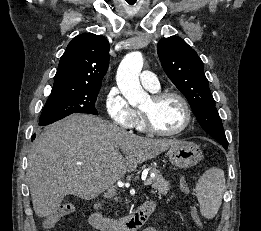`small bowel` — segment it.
Instances as JSON below:
<instances>
[{
  "label": "small bowel",
  "mask_w": 261,
  "mask_h": 231,
  "mask_svg": "<svg viewBox=\"0 0 261 231\" xmlns=\"http://www.w3.org/2000/svg\"><path fill=\"white\" fill-rule=\"evenodd\" d=\"M182 182H184V180H182ZM182 191H183L184 193H187V192H188V188H187V187H186V188H183ZM150 202H152V203L155 205V202H154V201H150ZM143 231H156V230H155L154 228L150 227V228L144 229Z\"/></svg>",
  "instance_id": "obj_1"
}]
</instances>
